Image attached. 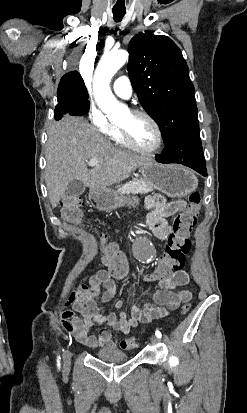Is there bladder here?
<instances>
[{
    "mask_svg": "<svg viewBox=\"0 0 247 413\" xmlns=\"http://www.w3.org/2000/svg\"><path fill=\"white\" fill-rule=\"evenodd\" d=\"M95 356L105 361L129 360V354L122 353L116 346L99 349Z\"/></svg>",
    "mask_w": 247,
    "mask_h": 413,
    "instance_id": "obj_1",
    "label": "bladder"
}]
</instances>
